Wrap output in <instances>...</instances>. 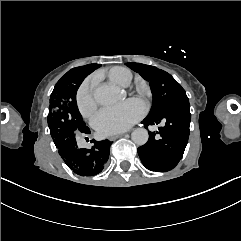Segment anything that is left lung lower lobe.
I'll list each match as a JSON object with an SVG mask.
<instances>
[{"mask_svg": "<svg viewBox=\"0 0 241 241\" xmlns=\"http://www.w3.org/2000/svg\"><path fill=\"white\" fill-rule=\"evenodd\" d=\"M190 119V104L186 99L142 121L145 128L165 121V125L156 132L160 137H155V132H149L148 142L138 148L141 162L147 169L166 172L178 164L188 142Z\"/></svg>", "mask_w": 241, "mask_h": 241, "instance_id": "1", "label": "left lung lower lobe"}]
</instances>
